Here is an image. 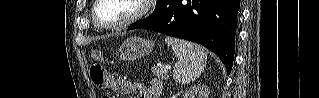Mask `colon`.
I'll return each mask as SVG.
<instances>
[{
    "label": "colon",
    "instance_id": "colon-1",
    "mask_svg": "<svg viewBox=\"0 0 319 98\" xmlns=\"http://www.w3.org/2000/svg\"><path fill=\"white\" fill-rule=\"evenodd\" d=\"M92 58L94 60V63L92 64L90 68V74L92 81L94 84L98 87H104L107 82V74L101 64L99 63V60L102 58V54L99 50L94 49L92 50ZM103 98H108L107 96H104Z\"/></svg>",
    "mask_w": 319,
    "mask_h": 98
}]
</instances>
